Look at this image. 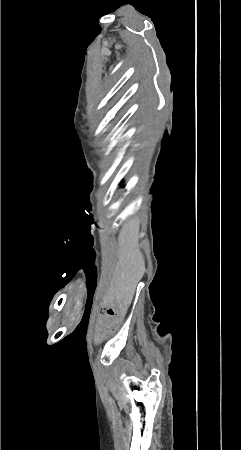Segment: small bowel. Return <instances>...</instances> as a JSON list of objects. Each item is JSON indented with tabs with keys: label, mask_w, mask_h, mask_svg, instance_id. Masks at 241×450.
Returning a JSON list of instances; mask_svg holds the SVG:
<instances>
[{
	"label": "small bowel",
	"mask_w": 241,
	"mask_h": 450,
	"mask_svg": "<svg viewBox=\"0 0 241 450\" xmlns=\"http://www.w3.org/2000/svg\"><path fill=\"white\" fill-rule=\"evenodd\" d=\"M126 306L127 303L124 300H115L110 303L105 301L102 309L96 310L95 317L96 319H126ZM119 325V322L116 320H100L96 323L98 328L95 330V333L101 336H109L113 332L112 329L118 328ZM95 340L96 341L93 344L97 346L99 344L98 342H101L103 339L101 337H97Z\"/></svg>",
	"instance_id": "obj_1"
}]
</instances>
